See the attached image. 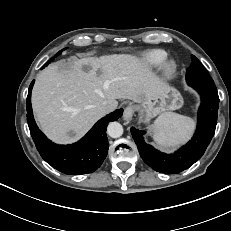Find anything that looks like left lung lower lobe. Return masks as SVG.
<instances>
[{"label":"left lung lower lobe","instance_id":"0a47b994","mask_svg":"<svg viewBox=\"0 0 231 231\" xmlns=\"http://www.w3.org/2000/svg\"><path fill=\"white\" fill-rule=\"evenodd\" d=\"M191 87L201 96L198 123L192 139L175 153L165 154L146 144L144 141L145 130L131 127V134L142 159L155 171L176 174L189 168L202 157L214 135L219 108L217 90L200 86Z\"/></svg>","mask_w":231,"mask_h":231}]
</instances>
